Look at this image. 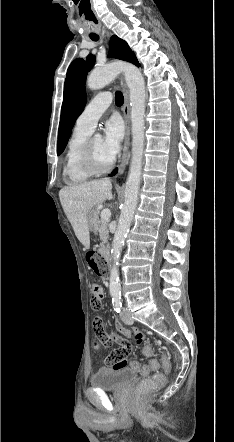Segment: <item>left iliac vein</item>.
<instances>
[{
	"label": "left iliac vein",
	"instance_id": "left-iliac-vein-1",
	"mask_svg": "<svg viewBox=\"0 0 234 442\" xmlns=\"http://www.w3.org/2000/svg\"><path fill=\"white\" fill-rule=\"evenodd\" d=\"M120 317H121L122 321L124 323H126V324H132L133 323V319H132V317L130 316L129 312L126 309L122 310V312L120 314Z\"/></svg>",
	"mask_w": 234,
	"mask_h": 442
}]
</instances>
